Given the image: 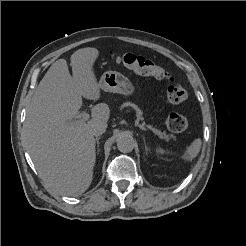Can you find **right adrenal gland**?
<instances>
[{
  "instance_id": "obj_1",
  "label": "right adrenal gland",
  "mask_w": 246,
  "mask_h": 246,
  "mask_svg": "<svg viewBox=\"0 0 246 246\" xmlns=\"http://www.w3.org/2000/svg\"><path fill=\"white\" fill-rule=\"evenodd\" d=\"M99 140H100V137H97V138H96V143H97V153H99Z\"/></svg>"
}]
</instances>
